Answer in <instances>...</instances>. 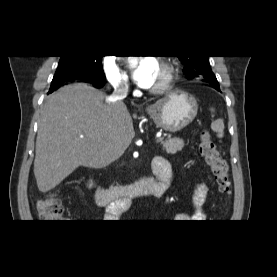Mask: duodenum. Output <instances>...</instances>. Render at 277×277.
<instances>
[{
    "label": "duodenum",
    "mask_w": 277,
    "mask_h": 277,
    "mask_svg": "<svg viewBox=\"0 0 277 277\" xmlns=\"http://www.w3.org/2000/svg\"><path fill=\"white\" fill-rule=\"evenodd\" d=\"M154 162L160 169V176L157 180L151 178L141 179L133 184L105 189L98 185L91 178L86 180V185L95 193L96 203L101 207H112L114 213H118L129 207L134 198H141L148 195L162 196V185L170 179V167L162 158H154Z\"/></svg>",
    "instance_id": "410a0bca"
}]
</instances>
